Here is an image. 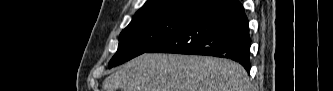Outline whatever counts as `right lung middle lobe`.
I'll use <instances>...</instances> for the list:
<instances>
[{"instance_id":"1","label":"right lung middle lobe","mask_w":333,"mask_h":91,"mask_svg":"<svg viewBox=\"0 0 333 91\" xmlns=\"http://www.w3.org/2000/svg\"><path fill=\"white\" fill-rule=\"evenodd\" d=\"M214 3L216 1L206 0L202 8L205 10ZM191 19L171 16L133 18L119 36L118 50L109 62V68L147 52L181 29Z\"/></svg>"}]
</instances>
